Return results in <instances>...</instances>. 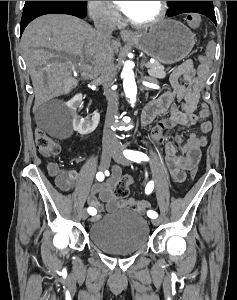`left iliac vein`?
<instances>
[{
  "label": "left iliac vein",
  "instance_id": "obj_1",
  "mask_svg": "<svg viewBox=\"0 0 237 300\" xmlns=\"http://www.w3.org/2000/svg\"><path fill=\"white\" fill-rule=\"evenodd\" d=\"M120 147H121V145H119L117 148H114L113 153H112V158L114 161H116L117 163H119L121 165L129 166L131 164V162L119 152ZM159 223H160L159 219L155 218L153 220V224L155 226L159 225Z\"/></svg>",
  "mask_w": 237,
  "mask_h": 300
}]
</instances>
